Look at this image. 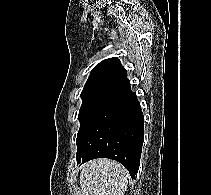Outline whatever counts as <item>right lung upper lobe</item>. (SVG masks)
Masks as SVG:
<instances>
[{"instance_id": "1", "label": "right lung upper lobe", "mask_w": 211, "mask_h": 195, "mask_svg": "<svg viewBox=\"0 0 211 195\" xmlns=\"http://www.w3.org/2000/svg\"><path fill=\"white\" fill-rule=\"evenodd\" d=\"M129 85L130 82L127 78V72L119 59L109 58L103 60L93 68L82 93L93 91L115 93Z\"/></svg>"}]
</instances>
